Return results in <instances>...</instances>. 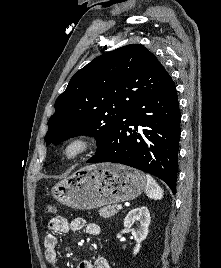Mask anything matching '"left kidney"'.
<instances>
[{"instance_id":"1","label":"left kidney","mask_w":221,"mask_h":268,"mask_svg":"<svg viewBox=\"0 0 221 268\" xmlns=\"http://www.w3.org/2000/svg\"><path fill=\"white\" fill-rule=\"evenodd\" d=\"M150 219L149 210L145 206L131 210L124 219V227L126 229H130L134 223L137 224V229L131 230L136 241V246L133 250L134 255L139 252L142 241H144L148 235Z\"/></svg>"}]
</instances>
